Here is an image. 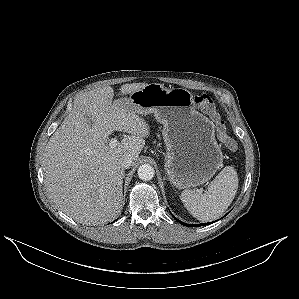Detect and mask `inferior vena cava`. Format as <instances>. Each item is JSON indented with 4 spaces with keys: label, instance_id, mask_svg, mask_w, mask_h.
Returning <instances> with one entry per match:
<instances>
[{
    "label": "inferior vena cava",
    "instance_id": "inferior-vena-cava-1",
    "mask_svg": "<svg viewBox=\"0 0 299 299\" xmlns=\"http://www.w3.org/2000/svg\"><path fill=\"white\" fill-rule=\"evenodd\" d=\"M132 163L133 160L129 155H125L119 160V164L122 169L129 168L132 165Z\"/></svg>",
    "mask_w": 299,
    "mask_h": 299
}]
</instances>
